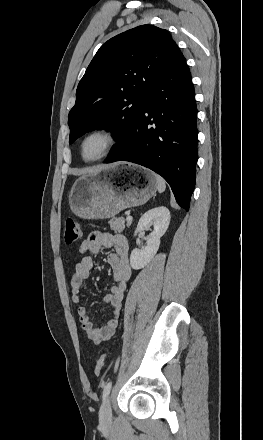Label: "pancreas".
<instances>
[{
	"instance_id": "1",
	"label": "pancreas",
	"mask_w": 263,
	"mask_h": 440,
	"mask_svg": "<svg viewBox=\"0 0 263 440\" xmlns=\"http://www.w3.org/2000/svg\"><path fill=\"white\" fill-rule=\"evenodd\" d=\"M125 219L123 217H116L113 218L109 221L110 224V228L111 230H113L115 233H121L125 226H130V222L125 223Z\"/></svg>"
}]
</instances>
